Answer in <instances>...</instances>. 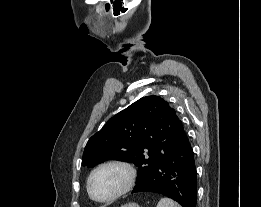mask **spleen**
I'll list each match as a JSON object with an SVG mask.
<instances>
[{
    "mask_svg": "<svg viewBox=\"0 0 261 207\" xmlns=\"http://www.w3.org/2000/svg\"><path fill=\"white\" fill-rule=\"evenodd\" d=\"M156 207H181L176 202L169 198H162Z\"/></svg>",
    "mask_w": 261,
    "mask_h": 207,
    "instance_id": "3e777b00",
    "label": "spleen"
}]
</instances>
